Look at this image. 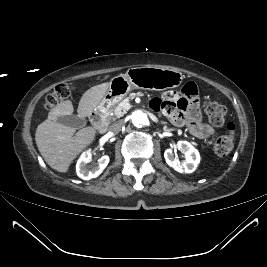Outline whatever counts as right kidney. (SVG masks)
Instances as JSON below:
<instances>
[{
  "mask_svg": "<svg viewBox=\"0 0 267 267\" xmlns=\"http://www.w3.org/2000/svg\"><path fill=\"white\" fill-rule=\"evenodd\" d=\"M92 155L90 150L84 152L77 161L76 172L83 180H90L98 177L109 163V156L104 155L98 159L97 164L93 165L91 169L87 168V164L91 161Z\"/></svg>",
  "mask_w": 267,
  "mask_h": 267,
  "instance_id": "obj_1",
  "label": "right kidney"
}]
</instances>
